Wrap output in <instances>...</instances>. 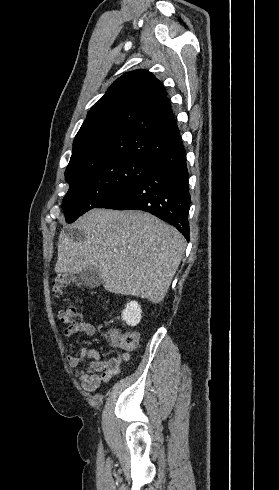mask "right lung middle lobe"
Here are the masks:
<instances>
[{
  "instance_id": "1",
  "label": "right lung middle lobe",
  "mask_w": 279,
  "mask_h": 490,
  "mask_svg": "<svg viewBox=\"0 0 279 490\" xmlns=\"http://www.w3.org/2000/svg\"><path fill=\"white\" fill-rule=\"evenodd\" d=\"M153 162L130 158L92 161L65 173L69 190L62 201L67 223L95 208L105 197L144 176Z\"/></svg>"
}]
</instances>
